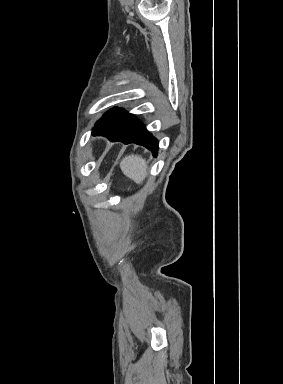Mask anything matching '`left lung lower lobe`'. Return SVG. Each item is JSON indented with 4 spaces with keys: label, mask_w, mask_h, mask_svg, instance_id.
Segmentation results:
<instances>
[{
    "label": "left lung lower lobe",
    "mask_w": 283,
    "mask_h": 384,
    "mask_svg": "<svg viewBox=\"0 0 283 384\" xmlns=\"http://www.w3.org/2000/svg\"><path fill=\"white\" fill-rule=\"evenodd\" d=\"M93 135L106 136L110 141H121L125 144L136 143L152 151L153 156L158 153V141L137 119L120 108L107 111L95 124Z\"/></svg>",
    "instance_id": "left-lung-lower-lobe-1"
}]
</instances>
